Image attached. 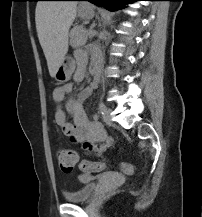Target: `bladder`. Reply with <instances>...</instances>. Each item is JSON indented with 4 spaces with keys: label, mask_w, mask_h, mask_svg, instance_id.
<instances>
[{
    "label": "bladder",
    "mask_w": 202,
    "mask_h": 217,
    "mask_svg": "<svg viewBox=\"0 0 202 217\" xmlns=\"http://www.w3.org/2000/svg\"><path fill=\"white\" fill-rule=\"evenodd\" d=\"M94 176L84 173L79 176L81 186L75 192H67L64 194L65 200L70 204H80L90 201L96 193L97 185L91 180ZM101 177L114 179L117 176L113 173L105 174Z\"/></svg>",
    "instance_id": "31cf9c89"
}]
</instances>
